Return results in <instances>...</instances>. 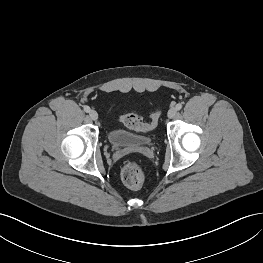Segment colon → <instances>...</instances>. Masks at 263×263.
I'll list each match as a JSON object with an SVG mask.
<instances>
[{"label":"colon","mask_w":263,"mask_h":263,"mask_svg":"<svg viewBox=\"0 0 263 263\" xmlns=\"http://www.w3.org/2000/svg\"><path fill=\"white\" fill-rule=\"evenodd\" d=\"M160 116V110L157 109L152 115L149 122H144L137 114L127 113L122 117L123 122L129 128L136 131H150L155 128ZM121 179L123 183L132 189L142 186L144 181V171L141 165L136 161H128L121 168Z\"/></svg>","instance_id":"5ec220e1"}]
</instances>
